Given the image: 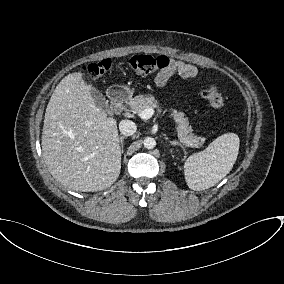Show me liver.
Masks as SVG:
<instances>
[{"instance_id":"6515ba94","label":"liver","mask_w":284,"mask_h":284,"mask_svg":"<svg viewBox=\"0 0 284 284\" xmlns=\"http://www.w3.org/2000/svg\"><path fill=\"white\" fill-rule=\"evenodd\" d=\"M42 153L51 175L74 191L110 187L121 169L117 122L98 108L82 73L65 76L46 108Z\"/></svg>"}]
</instances>
